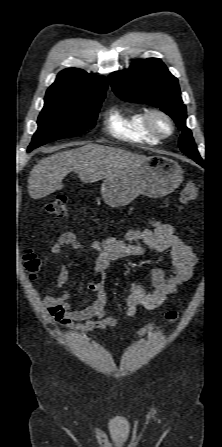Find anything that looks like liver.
Here are the masks:
<instances>
[{
  "instance_id": "obj_1",
  "label": "liver",
  "mask_w": 222,
  "mask_h": 447,
  "mask_svg": "<svg viewBox=\"0 0 222 447\" xmlns=\"http://www.w3.org/2000/svg\"><path fill=\"white\" fill-rule=\"evenodd\" d=\"M147 157L122 149L88 144L53 154L40 160L28 178V193L41 199L63 188L62 180L71 172L84 183L96 182L142 163Z\"/></svg>"
}]
</instances>
